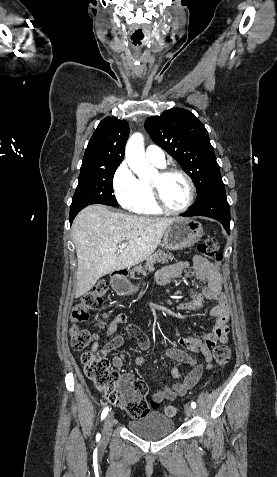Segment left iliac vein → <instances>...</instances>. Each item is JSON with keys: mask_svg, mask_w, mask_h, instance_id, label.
Masks as SVG:
<instances>
[{"mask_svg": "<svg viewBox=\"0 0 277 477\" xmlns=\"http://www.w3.org/2000/svg\"><path fill=\"white\" fill-rule=\"evenodd\" d=\"M185 414H186L188 417L192 416V415L194 414V409H193L191 406L186 405V406H185Z\"/></svg>", "mask_w": 277, "mask_h": 477, "instance_id": "4c4485c4", "label": "left iliac vein"}]
</instances>
